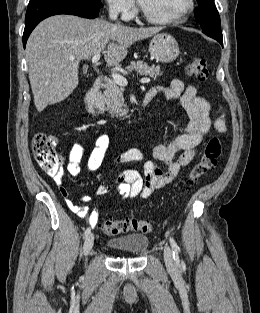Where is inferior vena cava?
<instances>
[{"instance_id":"obj_1","label":"inferior vena cava","mask_w":260,"mask_h":313,"mask_svg":"<svg viewBox=\"0 0 260 313\" xmlns=\"http://www.w3.org/2000/svg\"><path fill=\"white\" fill-rule=\"evenodd\" d=\"M117 16H118L117 10L115 8H113L112 6H110V9H109V17H110V19L116 20Z\"/></svg>"}]
</instances>
